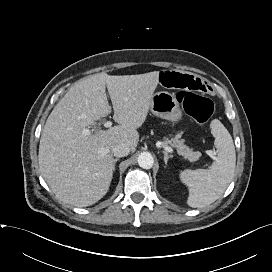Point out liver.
Segmentation results:
<instances>
[{"mask_svg": "<svg viewBox=\"0 0 272 272\" xmlns=\"http://www.w3.org/2000/svg\"><path fill=\"white\" fill-rule=\"evenodd\" d=\"M159 75L98 73L75 83L57 103L42 130L38 160L60 201L86 207L105 196L113 176L112 148L121 143L131 151L137 147V129L147 118ZM106 88L119 125L85 135L84 129L111 112Z\"/></svg>", "mask_w": 272, "mask_h": 272, "instance_id": "obj_1", "label": "liver"}]
</instances>
